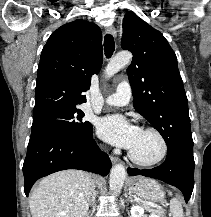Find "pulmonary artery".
Masks as SVG:
<instances>
[{"label":"pulmonary artery","mask_w":211,"mask_h":217,"mask_svg":"<svg viewBox=\"0 0 211 217\" xmlns=\"http://www.w3.org/2000/svg\"><path fill=\"white\" fill-rule=\"evenodd\" d=\"M131 99V86L123 81L117 85L115 93L105 98L104 104L109 106H126Z\"/></svg>","instance_id":"e3ab8cb5"}]
</instances>
